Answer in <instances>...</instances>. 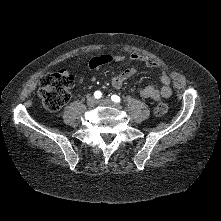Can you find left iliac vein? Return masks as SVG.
Masks as SVG:
<instances>
[{
	"instance_id": "left-iliac-vein-1",
	"label": "left iliac vein",
	"mask_w": 221,
	"mask_h": 221,
	"mask_svg": "<svg viewBox=\"0 0 221 221\" xmlns=\"http://www.w3.org/2000/svg\"><path fill=\"white\" fill-rule=\"evenodd\" d=\"M97 103L100 105L111 106L117 109L121 108L119 103L112 102L109 98H102L98 100Z\"/></svg>"
}]
</instances>
